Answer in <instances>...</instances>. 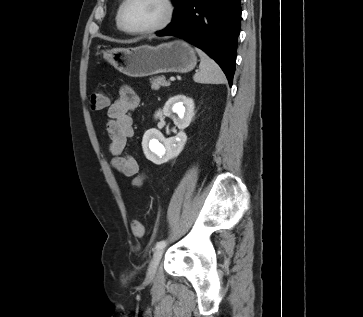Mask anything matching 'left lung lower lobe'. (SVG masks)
<instances>
[{"instance_id":"0a47b994","label":"left lung lower lobe","mask_w":363,"mask_h":317,"mask_svg":"<svg viewBox=\"0 0 363 317\" xmlns=\"http://www.w3.org/2000/svg\"><path fill=\"white\" fill-rule=\"evenodd\" d=\"M176 9L158 36L174 35L204 50L222 68L232 86L240 31V0H174Z\"/></svg>"}]
</instances>
